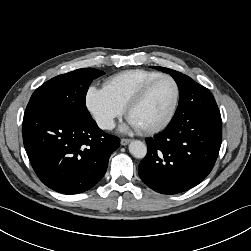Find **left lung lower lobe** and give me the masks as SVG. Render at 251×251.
Returning a JSON list of instances; mask_svg holds the SVG:
<instances>
[{"label":"left lung lower lobe","instance_id":"0a47b994","mask_svg":"<svg viewBox=\"0 0 251 251\" xmlns=\"http://www.w3.org/2000/svg\"><path fill=\"white\" fill-rule=\"evenodd\" d=\"M221 142V115L210 91L202 86L184 93L167 128L146 139L147 155L139 164V176L162 194L187 191L211 172Z\"/></svg>","mask_w":251,"mask_h":251}]
</instances>
